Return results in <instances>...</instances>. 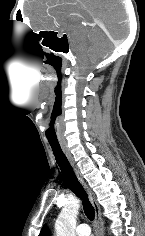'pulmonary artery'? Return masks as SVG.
I'll return each instance as SVG.
<instances>
[{
	"mask_svg": "<svg viewBox=\"0 0 145 236\" xmlns=\"http://www.w3.org/2000/svg\"><path fill=\"white\" fill-rule=\"evenodd\" d=\"M76 234L77 236H89L90 227L85 223L79 224L76 228Z\"/></svg>",
	"mask_w": 145,
	"mask_h": 236,
	"instance_id": "pulmonary-artery-1",
	"label": "pulmonary artery"
}]
</instances>
